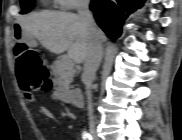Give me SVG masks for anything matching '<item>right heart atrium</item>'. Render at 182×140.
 <instances>
[{"label":"right heart atrium","instance_id":"1","mask_svg":"<svg viewBox=\"0 0 182 140\" xmlns=\"http://www.w3.org/2000/svg\"><path fill=\"white\" fill-rule=\"evenodd\" d=\"M60 7L64 10H82L88 5L87 0H60Z\"/></svg>","mask_w":182,"mask_h":140}]
</instances>
